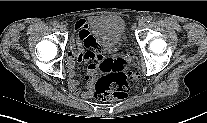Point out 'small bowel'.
I'll return each instance as SVG.
<instances>
[{
  "label": "small bowel",
  "mask_w": 207,
  "mask_h": 123,
  "mask_svg": "<svg viewBox=\"0 0 207 123\" xmlns=\"http://www.w3.org/2000/svg\"><path fill=\"white\" fill-rule=\"evenodd\" d=\"M76 38L71 42L68 51V87L70 91L78 97L90 99L93 97L94 76L97 71V65L91 64L86 71V90L79 89V83L76 79V63H86L92 59H100V41L90 30L86 20L81 19L75 23ZM87 48V51L84 50Z\"/></svg>",
  "instance_id": "obj_1"
}]
</instances>
